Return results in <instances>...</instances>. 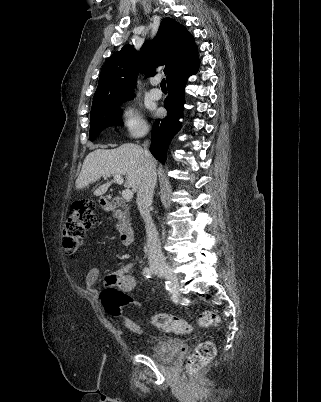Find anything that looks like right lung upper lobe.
<instances>
[{"instance_id":"cb5924a9","label":"right lung upper lobe","mask_w":321,"mask_h":402,"mask_svg":"<svg viewBox=\"0 0 321 402\" xmlns=\"http://www.w3.org/2000/svg\"><path fill=\"white\" fill-rule=\"evenodd\" d=\"M194 63V64H192ZM197 47L192 35L173 19L164 18L156 37L145 42L141 52L133 45H125L112 54L104 64L92 107L109 104L132 95V87L140 68L148 76L165 64L167 83L174 77L198 66Z\"/></svg>"}]
</instances>
